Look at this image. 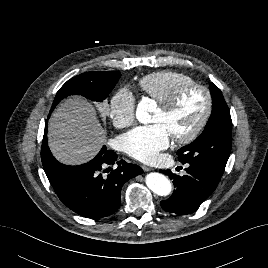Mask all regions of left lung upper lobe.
I'll use <instances>...</instances> for the list:
<instances>
[{"mask_svg": "<svg viewBox=\"0 0 268 268\" xmlns=\"http://www.w3.org/2000/svg\"><path fill=\"white\" fill-rule=\"evenodd\" d=\"M212 114L202 134L177 151L182 164H197L222 175L232 146V120L220 89L210 83Z\"/></svg>", "mask_w": 268, "mask_h": 268, "instance_id": "1", "label": "left lung upper lobe"}]
</instances>
